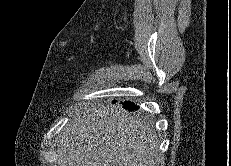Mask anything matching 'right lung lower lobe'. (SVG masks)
Returning a JSON list of instances; mask_svg holds the SVG:
<instances>
[{
    "instance_id": "right-lung-lower-lobe-1",
    "label": "right lung lower lobe",
    "mask_w": 231,
    "mask_h": 166,
    "mask_svg": "<svg viewBox=\"0 0 231 166\" xmlns=\"http://www.w3.org/2000/svg\"><path fill=\"white\" fill-rule=\"evenodd\" d=\"M113 102L115 103L116 100H114ZM123 104H124V107L128 109L129 111H135L138 109V107L130 101H125Z\"/></svg>"
}]
</instances>
